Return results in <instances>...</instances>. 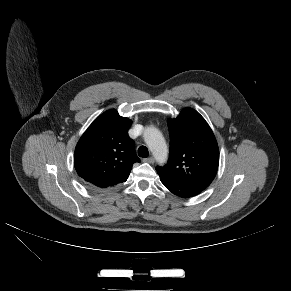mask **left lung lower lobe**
Here are the masks:
<instances>
[{
	"mask_svg": "<svg viewBox=\"0 0 291 291\" xmlns=\"http://www.w3.org/2000/svg\"><path fill=\"white\" fill-rule=\"evenodd\" d=\"M160 176V180L163 183V185L173 194L179 196V197H193L197 194H199L201 191L197 190L195 188L186 186L184 184L178 183L176 181H173L169 178H166L164 176Z\"/></svg>",
	"mask_w": 291,
	"mask_h": 291,
	"instance_id": "obj_1",
	"label": "left lung lower lobe"
}]
</instances>
